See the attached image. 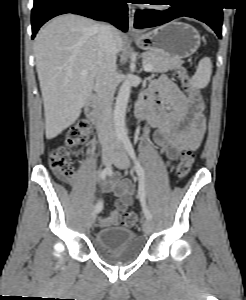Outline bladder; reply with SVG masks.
<instances>
[{
  "mask_svg": "<svg viewBox=\"0 0 246 300\" xmlns=\"http://www.w3.org/2000/svg\"><path fill=\"white\" fill-rule=\"evenodd\" d=\"M95 246L100 253L109 259L120 262L134 260L142 252V243L135 232L123 226L97 231Z\"/></svg>",
  "mask_w": 246,
  "mask_h": 300,
  "instance_id": "obj_1",
  "label": "bladder"
}]
</instances>
